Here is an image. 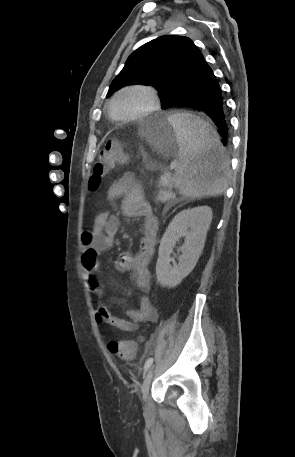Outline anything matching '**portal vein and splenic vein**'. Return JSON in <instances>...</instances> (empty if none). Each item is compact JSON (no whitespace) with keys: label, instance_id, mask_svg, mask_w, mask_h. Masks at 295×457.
Segmentation results:
<instances>
[{"label":"portal vein and splenic vein","instance_id":"portal-vein-and-splenic-vein-1","mask_svg":"<svg viewBox=\"0 0 295 457\" xmlns=\"http://www.w3.org/2000/svg\"><path fill=\"white\" fill-rule=\"evenodd\" d=\"M173 166V165H172ZM171 178V172H166L161 176L160 182L166 185Z\"/></svg>","mask_w":295,"mask_h":457}]
</instances>
